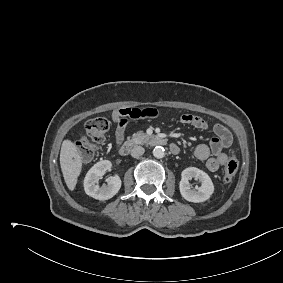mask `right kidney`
I'll use <instances>...</instances> for the list:
<instances>
[{
    "label": "right kidney",
    "instance_id": "obj_1",
    "mask_svg": "<svg viewBox=\"0 0 283 283\" xmlns=\"http://www.w3.org/2000/svg\"><path fill=\"white\" fill-rule=\"evenodd\" d=\"M111 162L103 160L97 162L86 174L84 179L85 193L98 200H107L118 193L121 188V179L114 176L108 179V184L102 187L97 185L99 177H102L107 171L111 170Z\"/></svg>",
    "mask_w": 283,
    "mask_h": 283
}]
</instances>
